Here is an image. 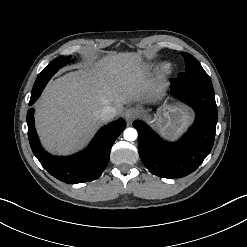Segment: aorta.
Here are the masks:
<instances>
[{
	"mask_svg": "<svg viewBox=\"0 0 247 247\" xmlns=\"http://www.w3.org/2000/svg\"><path fill=\"white\" fill-rule=\"evenodd\" d=\"M123 136L127 141H135L137 139L138 133L134 128H126L124 130Z\"/></svg>",
	"mask_w": 247,
	"mask_h": 247,
	"instance_id": "762f6f07",
	"label": "aorta"
}]
</instances>
